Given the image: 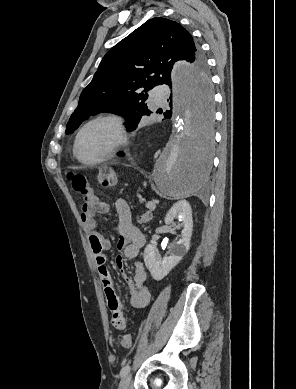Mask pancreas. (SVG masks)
Segmentation results:
<instances>
[{"mask_svg": "<svg viewBox=\"0 0 296 389\" xmlns=\"http://www.w3.org/2000/svg\"><path fill=\"white\" fill-rule=\"evenodd\" d=\"M153 218V215L151 213V210L143 214L141 217H137L138 223H147Z\"/></svg>", "mask_w": 296, "mask_h": 389, "instance_id": "1", "label": "pancreas"}]
</instances>
